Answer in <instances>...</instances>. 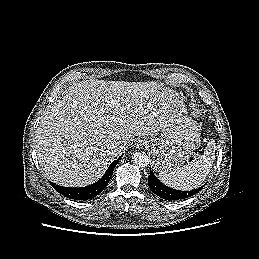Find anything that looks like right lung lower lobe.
I'll use <instances>...</instances> for the list:
<instances>
[{"mask_svg": "<svg viewBox=\"0 0 259 259\" xmlns=\"http://www.w3.org/2000/svg\"><path fill=\"white\" fill-rule=\"evenodd\" d=\"M121 157H119L117 160L111 163L106 173L103 175V177L97 181L94 184H91L86 187H80V188H68L63 187L59 185H55L54 183L50 184L54 187V189L59 192L60 194L74 199V200H85V199H91L101 193L103 189L107 186L108 182L111 179V176L113 174L115 166L118 164Z\"/></svg>", "mask_w": 259, "mask_h": 259, "instance_id": "98d812e1", "label": "right lung lower lobe"}]
</instances>
